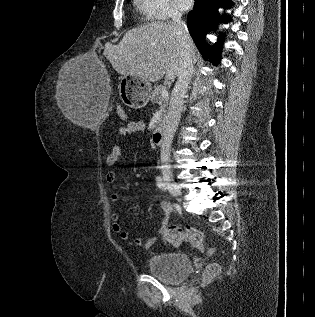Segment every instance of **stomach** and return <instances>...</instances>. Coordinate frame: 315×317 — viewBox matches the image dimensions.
I'll return each mask as SVG.
<instances>
[{"instance_id":"obj_1","label":"stomach","mask_w":315,"mask_h":317,"mask_svg":"<svg viewBox=\"0 0 315 317\" xmlns=\"http://www.w3.org/2000/svg\"><path fill=\"white\" fill-rule=\"evenodd\" d=\"M122 102L134 109L144 107L151 96L152 86L149 81L137 76H122L118 85Z\"/></svg>"}]
</instances>
